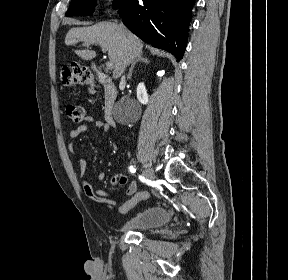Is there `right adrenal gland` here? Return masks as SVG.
<instances>
[{
    "mask_svg": "<svg viewBox=\"0 0 288 280\" xmlns=\"http://www.w3.org/2000/svg\"><path fill=\"white\" fill-rule=\"evenodd\" d=\"M138 62H142V63L148 64L150 61H149L148 58H145V57H143L142 55H138V56L136 57V59H135V60L132 62V64H131V67H130V70H129V74H128V77H127L128 79L131 78L132 73H133V69H134L136 63H138Z\"/></svg>",
    "mask_w": 288,
    "mask_h": 280,
    "instance_id": "obj_1",
    "label": "right adrenal gland"
}]
</instances>
